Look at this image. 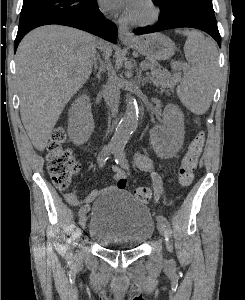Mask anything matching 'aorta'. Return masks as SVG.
Masks as SVG:
<instances>
[{
	"instance_id": "obj_1",
	"label": "aorta",
	"mask_w": 245,
	"mask_h": 300,
	"mask_svg": "<svg viewBox=\"0 0 245 300\" xmlns=\"http://www.w3.org/2000/svg\"><path fill=\"white\" fill-rule=\"evenodd\" d=\"M137 123L138 104L136 99L129 95L124 116L118 124L110 143L114 150H122L124 148L131 134L136 130Z\"/></svg>"
}]
</instances>
